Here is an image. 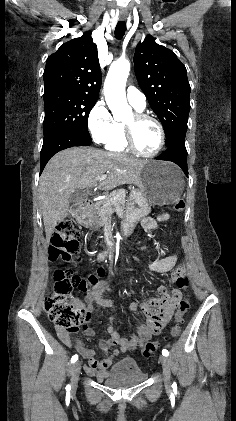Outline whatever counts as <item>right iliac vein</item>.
Here are the masks:
<instances>
[{"label": "right iliac vein", "instance_id": "63e3f726", "mask_svg": "<svg viewBox=\"0 0 236 421\" xmlns=\"http://www.w3.org/2000/svg\"><path fill=\"white\" fill-rule=\"evenodd\" d=\"M80 370L81 364L79 362H75L71 368V385L73 388H76L77 386Z\"/></svg>", "mask_w": 236, "mask_h": 421}]
</instances>
